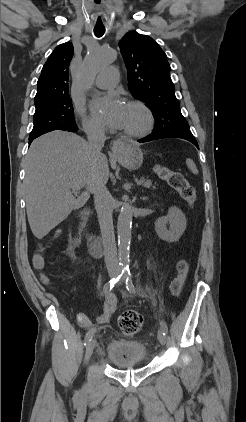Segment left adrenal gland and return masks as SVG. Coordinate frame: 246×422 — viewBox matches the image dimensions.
<instances>
[{"label": "left adrenal gland", "mask_w": 246, "mask_h": 422, "mask_svg": "<svg viewBox=\"0 0 246 422\" xmlns=\"http://www.w3.org/2000/svg\"><path fill=\"white\" fill-rule=\"evenodd\" d=\"M141 199H142V200H146V199H147V197H146V196H143Z\"/></svg>", "instance_id": "1"}]
</instances>
